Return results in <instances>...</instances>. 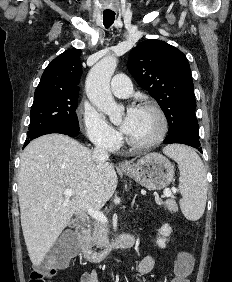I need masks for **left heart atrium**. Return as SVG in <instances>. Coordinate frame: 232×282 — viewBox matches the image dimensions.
<instances>
[{"instance_id": "1", "label": "left heart atrium", "mask_w": 232, "mask_h": 282, "mask_svg": "<svg viewBox=\"0 0 232 282\" xmlns=\"http://www.w3.org/2000/svg\"><path fill=\"white\" fill-rule=\"evenodd\" d=\"M138 114V108L136 107H129L126 111V114L124 116L122 125H121V130L128 134L136 120Z\"/></svg>"}]
</instances>
